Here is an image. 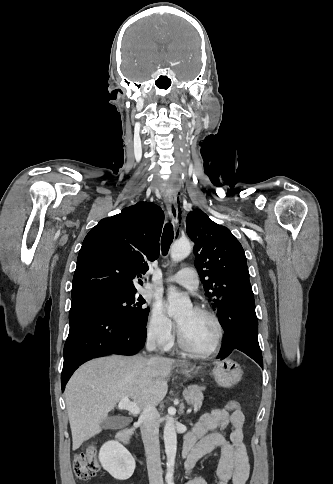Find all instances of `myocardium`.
<instances>
[{
	"mask_svg": "<svg viewBox=\"0 0 333 484\" xmlns=\"http://www.w3.org/2000/svg\"><path fill=\"white\" fill-rule=\"evenodd\" d=\"M193 310L198 312V313L207 315L208 317H210L213 320V322L215 323L216 328H217V336H216L215 342H214L213 346L206 351L196 350L195 348H193L192 346H190L188 344V342L186 341V339L183 336V333L180 329L179 324H177L178 344H179V346L182 350H184L185 352H187V353H189V354H191L195 357L207 358V357L212 356L213 354H215L219 350L221 343H222V340H223V336H224V328H223V325H222L220 318L218 317V315L214 311H212V310H210L206 307H202V306H195L193 308Z\"/></svg>",
	"mask_w": 333,
	"mask_h": 484,
	"instance_id": "1",
	"label": "myocardium"
}]
</instances>
